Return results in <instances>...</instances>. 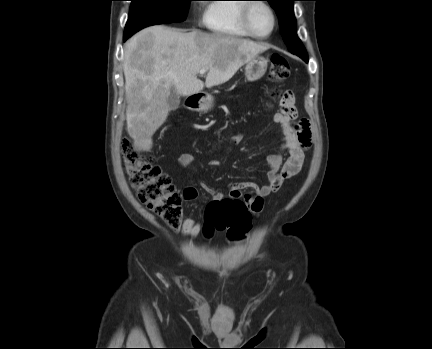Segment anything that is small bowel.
Returning a JSON list of instances; mask_svg holds the SVG:
<instances>
[{"label":"small bowel","instance_id":"small-bowel-1","mask_svg":"<svg viewBox=\"0 0 432 349\" xmlns=\"http://www.w3.org/2000/svg\"><path fill=\"white\" fill-rule=\"evenodd\" d=\"M281 110L273 115V122L281 127V146L274 153L267 157V183L260 186L254 182H243L233 184L229 187L228 195L225 196L208 185H203V190L213 197L214 202H220L224 198L243 200L248 205L252 214H258L264 206V198L280 189L286 179L297 175L303 165L305 151L312 144V132L310 123L306 119H301L297 123L293 121L297 118V111L293 104V96L290 95L282 100ZM243 139L242 135L232 138L233 145L239 144ZM287 153L288 158L284 161L283 154ZM191 154H182L178 158L181 167H187L192 161ZM210 166L220 165V161L213 159L209 162ZM250 192L244 194L243 190ZM184 199L193 201L198 197V190L195 187H187L184 190ZM201 230V224L194 218H186L181 227L182 234L195 238Z\"/></svg>","mask_w":432,"mask_h":349}]
</instances>
